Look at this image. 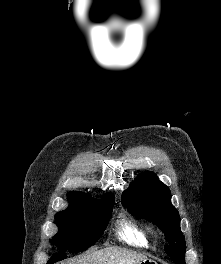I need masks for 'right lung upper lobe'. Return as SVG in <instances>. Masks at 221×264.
<instances>
[{
  "instance_id": "cb5924a9",
  "label": "right lung upper lobe",
  "mask_w": 221,
  "mask_h": 264,
  "mask_svg": "<svg viewBox=\"0 0 221 264\" xmlns=\"http://www.w3.org/2000/svg\"><path fill=\"white\" fill-rule=\"evenodd\" d=\"M67 197H68V200L70 202V206L68 209H71V210L84 209L85 207L91 205L92 203H94L96 201H100V200H95L94 198L88 196L85 193L77 192V191L69 192L67 194ZM109 198H114V195L106 194L103 197V200H106Z\"/></svg>"
}]
</instances>
